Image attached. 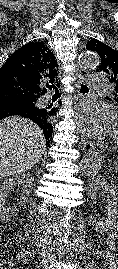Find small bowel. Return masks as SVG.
Instances as JSON below:
<instances>
[{
    "instance_id": "1",
    "label": "small bowel",
    "mask_w": 118,
    "mask_h": 269,
    "mask_svg": "<svg viewBox=\"0 0 118 269\" xmlns=\"http://www.w3.org/2000/svg\"><path fill=\"white\" fill-rule=\"evenodd\" d=\"M116 229L118 230V225H116ZM108 242L112 250L118 251V235L116 232H111L108 235Z\"/></svg>"
}]
</instances>
